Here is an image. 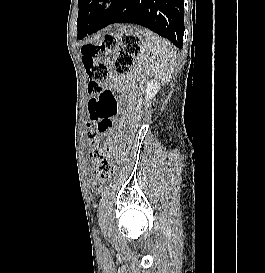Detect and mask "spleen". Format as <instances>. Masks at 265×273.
<instances>
[{
  "instance_id": "spleen-1",
  "label": "spleen",
  "mask_w": 265,
  "mask_h": 273,
  "mask_svg": "<svg viewBox=\"0 0 265 273\" xmlns=\"http://www.w3.org/2000/svg\"><path fill=\"white\" fill-rule=\"evenodd\" d=\"M141 33L145 37L148 50L152 53L151 58L156 59L152 70L159 80L165 82L170 77L176 63L175 49L169 41L148 29L141 30Z\"/></svg>"
}]
</instances>
